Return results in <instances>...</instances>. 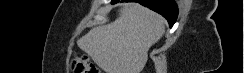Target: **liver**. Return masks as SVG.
<instances>
[{"instance_id":"6515ba94","label":"liver","mask_w":244,"mask_h":73,"mask_svg":"<svg viewBox=\"0 0 244 73\" xmlns=\"http://www.w3.org/2000/svg\"><path fill=\"white\" fill-rule=\"evenodd\" d=\"M165 19L138 3H125L119 17L77 41L105 73H141L152 45L165 32Z\"/></svg>"}]
</instances>
